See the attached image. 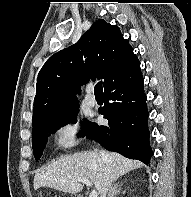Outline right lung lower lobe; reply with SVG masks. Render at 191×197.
Segmentation results:
<instances>
[{"mask_svg": "<svg viewBox=\"0 0 191 197\" xmlns=\"http://www.w3.org/2000/svg\"><path fill=\"white\" fill-rule=\"evenodd\" d=\"M105 103L99 112L107 126L91 123L86 136L105 149L149 164L153 151L149 143L148 110L140 65L105 87Z\"/></svg>", "mask_w": 191, "mask_h": 197, "instance_id": "98d812e1", "label": "right lung lower lobe"}]
</instances>
